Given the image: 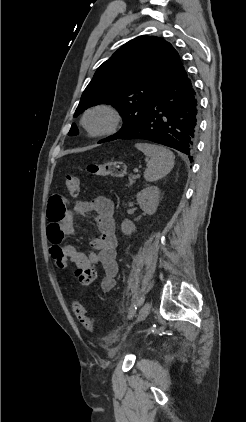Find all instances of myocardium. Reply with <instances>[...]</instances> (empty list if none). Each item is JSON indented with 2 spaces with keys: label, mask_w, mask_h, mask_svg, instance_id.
<instances>
[{
  "label": "myocardium",
  "mask_w": 246,
  "mask_h": 422,
  "mask_svg": "<svg viewBox=\"0 0 246 422\" xmlns=\"http://www.w3.org/2000/svg\"><path fill=\"white\" fill-rule=\"evenodd\" d=\"M95 113L105 114L106 124L100 129H92L88 124V118ZM122 117L120 112L109 104H97L88 108L82 115L81 125L83 129L92 137H102L114 134L121 125Z\"/></svg>",
  "instance_id": "obj_1"
}]
</instances>
